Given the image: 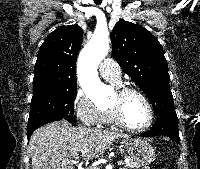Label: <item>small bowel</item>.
I'll use <instances>...</instances> for the list:
<instances>
[{"label":"small bowel","instance_id":"c3829d8e","mask_svg":"<svg viewBox=\"0 0 200 169\" xmlns=\"http://www.w3.org/2000/svg\"><path fill=\"white\" fill-rule=\"evenodd\" d=\"M142 169H150V168H147V167H143Z\"/></svg>","mask_w":200,"mask_h":169}]
</instances>
